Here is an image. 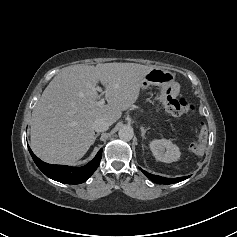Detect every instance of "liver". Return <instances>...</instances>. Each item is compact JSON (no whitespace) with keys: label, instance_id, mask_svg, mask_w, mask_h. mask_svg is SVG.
Here are the masks:
<instances>
[{"label":"liver","instance_id":"1","mask_svg":"<svg viewBox=\"0 0 237 237\" xmlns=\"http://www.w3.org/2000/svg\"><path fill=\"white\" fill-rule=\"evenodd\" d=\"M153 69L136 63L79 64L64 68L48 84L32 111L30 146L43 161L71 164L94 143L97 118L114 124L138 99L144 76ZM107 105H97V83Z\"/></svg>","mask_w":237,"mask_h":237}]
</instances>
